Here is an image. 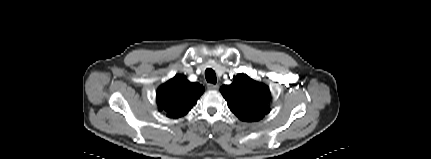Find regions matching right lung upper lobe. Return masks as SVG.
<instances>
[{
	"mask_svg": "<svg viewBox=\"0 0 431 159\" xmlns=\"http://www.w3.org/2000/svg\"><path fill=\"white\" fill-rule=\"evenodd\" d=\"M203 91L204 87L199 83H191L183 76L176 75L157 90L159 110L171 118L181 117L191 110Z\"/></svg>",
	"mask_w": 431,
	"mask_h": 159,
	"instance_id": "obj_1",
	"label": "right lung upper lobe"
}]
</instances>
